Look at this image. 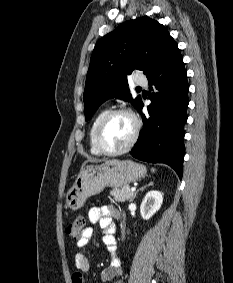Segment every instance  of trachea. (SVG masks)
<instances>
[{"mask_svg":"<svg viewBox=\"0 0 233 283\" xmlns=\"http://www.w3.org/2000/svg\"><path fill=\"white\" fill-rule=\"evenodd\" d=\"M137 90H141V88H140V87H138V88H137Z\"/></svg>","mask_w":233,"mask_h":283,"instance_id":"trachea-1","label":"trachea"}]
</instances>
